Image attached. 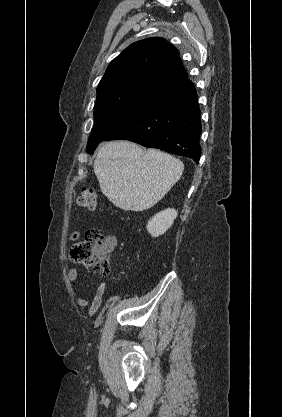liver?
<instances>
[{"instance_id": "liver-1", "label": "liver", "mask_w": 282, "mask_h": 417, "mask_svg": "<svg viewBox=\"0 0 282 417\" xmlns=\"http://www.w3.org/2000/svg\"><path fill=\"white\" fill-rule=\"evenodd\" d=\"M184 164L158 148H143L129 140H111L101 146L94 172L100 188L123 211H146L179 180Z\"/></svg>"}]
</instances>
